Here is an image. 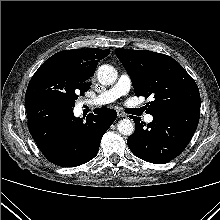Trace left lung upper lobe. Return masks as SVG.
<instances>
[{
	"label": "left lung upper lobe",
	"mask_w": 220,
	"mask_h": 220,
	"mask_svg": "<svg viewBox=\"0 0 220 220\" xmlns=\"http://www.w3.org/2000/svg\"><path fill=\"white\" fill-rule=\"evenodd\" d=\"M116 56L130 75L136 96L150 95L147 112L178 107H200L197 84L173 58L147 50L117 48Z\"/></svg>",
	"instance_id": "left-lung-upper-lobe-1"
}]
</instances>
